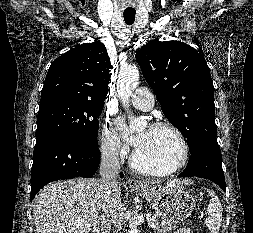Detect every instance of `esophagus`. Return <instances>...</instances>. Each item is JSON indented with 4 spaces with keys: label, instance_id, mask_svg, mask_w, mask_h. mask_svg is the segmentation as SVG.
<instances>
[{
    "label": "esophagus",
    "instance_id": "esophagus-1",
    "mask_svg": "<svg viewBox=\"0 0 253 233\" xmlns=\"http://www.w3.org/2000/svg\"><path fill=\"white\" fill-rule=\"evenodd\" d=\"M127 183H128V185H129L130 187L142 186V183H141L140 181H137V180H135V179H133V178H129V179L127 180Z\"/></svg>",
    "mask_w": 253,
    "mask_h": 233
}]
</instances>
